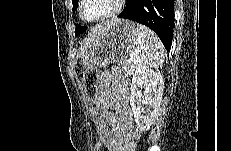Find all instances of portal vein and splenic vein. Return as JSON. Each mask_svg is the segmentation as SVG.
Returning <instances> with one entry per match:
<instances>
[{
    "label": "portal vein and splenic vein",
    "mask_w": 231,
    "mask_h": 151,
    "mask_svg": "<svg viewBox=\"0 0 231 151\" xmlns=\"http://www.w3.org/2000/svg\"><path fill=\"white\" fill-rule=\"evenodd\" d=\"M135 60V53L130 54V57L128 59V62H132Z\"/></svg>",
    "instance_id": "1"
}]
</instances>
